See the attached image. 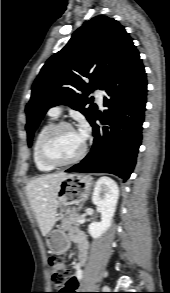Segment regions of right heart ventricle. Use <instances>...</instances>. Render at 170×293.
<instances>
[{
  "label": "right heart ventricle",
  "mask_w": 170,
  "mask_h": 293,
  "mask_svg": "<svg viewBox=\"0 0 170 293\" xmlns=\"http://www.w3.org/2000/svg\"><path fill=\"white\" fill-rule=\"evenodd\" d=\"M56 117L50 115V120L46 122L38 131L37 136L33 145V160L36 168L41 172H50L55 167L49 166L41 161L38 154L39 143L43 134L53 125L55 124Z\"/></svg>",
  "instance_id": "right-heart-ventricle-1"
}]
</instances>
